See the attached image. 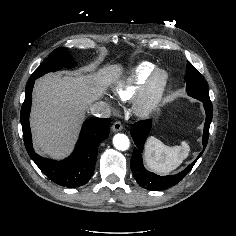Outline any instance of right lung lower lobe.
Masks as SVG:
<instances>
[{"instance_id":"right-lung-lower-lobe-1","label":"right lung lower lobe","mask_w":236,"mask_h":236,"mask_svg":"<svg viewBox=\"0 0 236 236\" xmlns=\"http://www.w3.org/2000/svg\"><path fill=\"white\" fill-rule=\"evenodd\" d=\"M35 80H29L21 108V124L26 150L39 169L53 182L68 188L86 184L91 178L99 144L109 136V118H94L84 122L74 152L65 160L55 161L37 155L32 148L29 125L32 89Z\"/></svg>"}]
</instances>
